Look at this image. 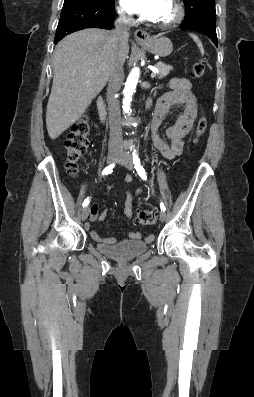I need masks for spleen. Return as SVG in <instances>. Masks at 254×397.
<instances>
[{"instance_id":"3e777b00","label":"spleen","mask_w":254,"mask_h":397,"mask_svg":"<svg viewBox=\"0 0 254 397\" xmlns=\"http://www.w3.org/2000/svg\"><path fill=\"white\" fill-rule=\"evenodd\" d=\"M189 35H190V37L194 40V42L197 44V46H198V48H199V50H200V53H201L202 55H204L203 45H202L201 41L199 40V38H198L196 35L191 34V33H190Z\"/></svg>"}]
</instances>
